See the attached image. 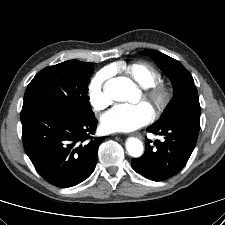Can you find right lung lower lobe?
Returning <instances> with one entry per match:
<instances>
[{
    "label": "right lung lower lobe",
    "mask_w": 225,
    "mask_h": 225,
    "mask_svg": "<svg viewBox=\"0 0 225 225\" xmlns=\"http://www.w3.org/2000/svg\"><path fill=\"white\" fill-rule=\"evenodd\" d=\"M24 149L37 172L50 184L71 187L94 171L104 137H91L97 120L77 118L45 106L22 108Z\"/></svg>",
    "instance_id": "98d812e1"
}]
</instances>
